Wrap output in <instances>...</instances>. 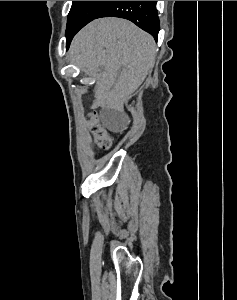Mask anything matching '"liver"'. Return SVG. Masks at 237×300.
<instances>
[{
  "label": "liver",
  "mask_w": 237,
  "mask_h": 300,
  "mask_svg": "<svg viewBox=\"0 0 237 300\" xmlns=\"http://www.w3.org/2000/svg\"><path fill=\"white\" fill-rule=\"evenodd\" d=\"M156 43L125 19H96L75 35L70 55L81 71L98 73L99 101H126L155 65Z\"/></svg>",
  "instance_id": "liver-1"
}]
</instances>
